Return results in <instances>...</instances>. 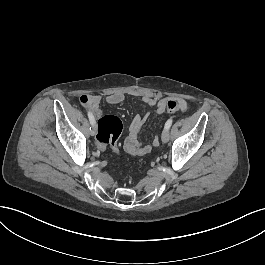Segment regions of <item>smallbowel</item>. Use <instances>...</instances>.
<instances>
[{
  "label": "small bowel",
  "instance_id": "c3829d8e",
  "mask_svg": "<svg viewBox=\"0 0 265 265\" xmlns=\"http://www.w3.org/2000/svg\"><path fill=\"white\" fill-rule=\"evenodd\" d=\"M89 101L85 105H87L88 109L94 114V115H100L101 109H100V102L102 100V97L100 95H89ZM125 100V95L122 92H113L106 96V102L109 105H118L121 104ZM168 98H156L153 97L150 94H144L142 96V101L147 106L151 108V110L145 114L142 117H137L133 120L131 123L128 136L124 143V148L130 155L133 156H143L152 151L153 148L157 147L159 145V138L157 136L153 137L150 144L143 145L138 141V133L144 126V124L147 122L149 116L151 113H155L158 115L164 114L166 111L164 109V106L166 104V101ZM181 112H187L189 110V104L184 99H177ZM84 105V106H85Z\"/></svg>",
  "mask_w": 265,
  "mask_h": 265
}]
</instances>
